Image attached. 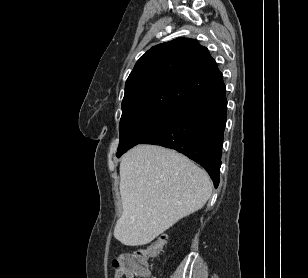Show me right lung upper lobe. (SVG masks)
Returning a JSON list of instances; mask_svg holds the SVG:
<instances>
[{"label": "right lung upper lobe", "mask_w": 308, "mask_h": 278, "mask_svg": "<svg viewBox=\"0 0 308 278\" xmlns=\"http://www.w3.org/2000/svg\"><path fill=\"white\" fill-rule=\"evenodd\" d=\"M223 86L215 60L197 40L165 42L148 50L130 73L121 120L149 110H180Z\"/></svg>", "instance_id": "1"}]
</instances>
